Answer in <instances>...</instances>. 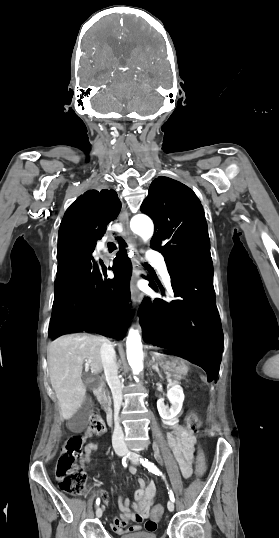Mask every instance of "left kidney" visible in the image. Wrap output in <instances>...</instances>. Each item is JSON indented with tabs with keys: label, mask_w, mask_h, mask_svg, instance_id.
Here are the masks:
<instances>
[{
	"label": "left kidney",
	"mask_w": 279,
	"mask_h": 538,
	"mask_svg": "<svg viewBox=\"0 0 279 538\" xmlns=\"http://www.w3.org/2000/svg\"><path fill=\"white\" fill-rule=\"evenodd\" d=\"M167 398L171 402V408L165 406L164 398H160L157 402L158 412L163 420H172L175 416H178L182 410L184 402L183 388L179 384H171L170 390L167 392Z\"/></svg>",
	"instance_id": "left-kidney-1"
}]
</instances>
